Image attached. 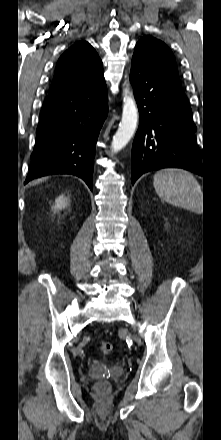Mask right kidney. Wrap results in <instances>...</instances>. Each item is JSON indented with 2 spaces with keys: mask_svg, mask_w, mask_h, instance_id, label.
<instances>
[{
  "mask_svg": "<svg viewBox=\"0 0 221 440\" xmlns=\"http://www.w3.org/2000/svg\"><path fill=\"white\" fill-rule=\"evenodd\" d=\"M66 205H67V198H65L64 196H59L55 200L54 210H61L65 208Z\"/></svg>",
  "mask_w": 221,
  "mask_h": 440,
  "instance_id": "1",
  "label": "right kidney"
}]
</instances>
